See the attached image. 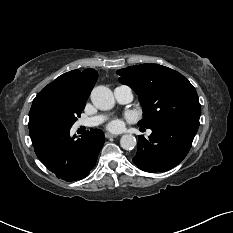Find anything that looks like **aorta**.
<instances>
[{
  "instance_id": "aorta-1",
  "label": "aorta",
  "mask_w": 233,
  "mask_h": 233,
  "mask_svg": "<svg viewBox=\"0 0 233 233\" xmlns=\"http://www.w3.org/2000/svg\"><path fill=\"white\" fill-rule=\"evenodd\" d=\"M93 105L100 110H110L114 107L115 99L112 91L105 86H97L91 92ZM137 144L136 138L131 134H124L120 139V145L125 150H132Z\"/></svg>"
}]
</instances>
